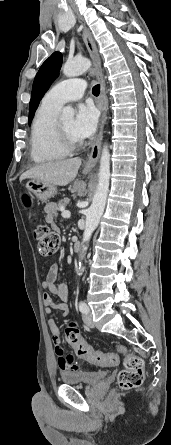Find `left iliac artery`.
Wrapping results in <instances>:
<instances>
[{"label":"left iliac artery","instance_id":"left-iliac-artery-1","mask_svg":"<svg viewBox=\"0 0 171 445\" xmlns=\"http://www.w3.org/2000/svg\"><path fill=\"white\" fill-rule=\"evenodd\" d=\"M79 310H80L81 313L86 314L88 312L89 308H88V306H87V304L85 302L80 301L79 302Z\"/></svg>","mask_w":171,"mask_h":445}]
</instances>
